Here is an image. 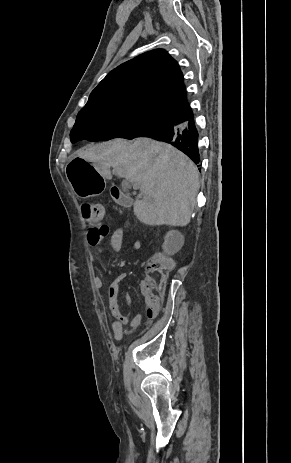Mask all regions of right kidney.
Segmentation results:
<instances>
[{"label": "right kidney", "instance_id": "1", "mask_svg": "<svg viewBox=\"0 0 291 463\" xmlns=\"http://www.w3.org/2000/svg\"><path fill=\"white\" fill-rule=\"evenodd\" d=\"M184 244V236L177 230H171L167 232L164 243L163 250L168 255H172L175 252L179 251Z\"/></svg>", "mask_w": 291, "mask_h": 463}]
</instances>
